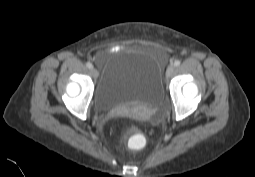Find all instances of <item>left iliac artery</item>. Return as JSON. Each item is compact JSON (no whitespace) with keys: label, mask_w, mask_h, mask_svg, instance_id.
I'll return each mask as SVG.
<instances>
[{"label":"left iliac artery","mask_w":255,"mask_h":177,"mask_svg":"<svg viewBox=\"0 0 255 177\" xmlns=\"http://www.w3.org/2000/svg\"><path fill=\"white\" fill-rule=\"evenodd\" d=\"M180 63H181V62H180L179 60H176V61L174 62V66H176V67H177V66H179V65H180Z\"/></svg>","instance_id":"obj_1"}]
</instances>
